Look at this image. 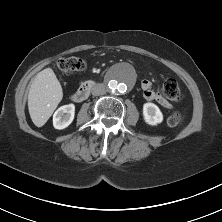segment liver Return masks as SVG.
Returning a JSON list of instances; mask_svg holds the SVG:
<instances>
[{
    "label": "liver",
    "instance_id": "obj_1",
    "mask_svg": "<svg viewBox=\"0 0 222 222\" xmlns=\"http://www.w3.org/2000/svg\"><path fill=\"white\" fill-rule=\"evenodd\" d=\"M63 98V90L54 71L46 68L39 72L29 89L28 110L32 122L42 127Z\"/></svg>",
    "mask_w": 222,
    "mask_h": 222
}]
</instances>
